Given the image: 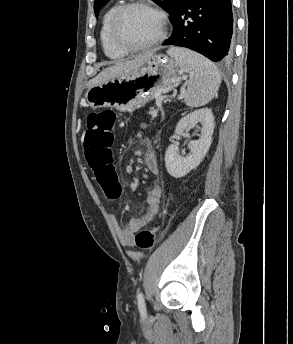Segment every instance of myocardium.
Returning <instances> with one entry per match:
<instances>
[{
	"label": "myocardium",
	"instance_id": "f54148a6",
	"mask_svg": "<svg viewBox=\"0 0 293 344\" xmlns=\"http://www.w3.org/2000/svg\"><path fill=\"white\" fill-rule=\"evenodd\" d=\"M133 8H143L152 13H154L160 23V30L158 35L150 40L149 42L143 44H130L126 42L121 34H120V22L124 16V14ZM168 34V19L166 14L153 4L147 2L146 0H131L125 4L120 5L117 10L115 11L110 25V35L112 42L116 47L126 52H140L151 49L156 45L163 42Z\"/></svg>",
	"mask_w": 293,
	"mask_h": 344
}]
</instances>
